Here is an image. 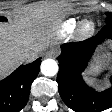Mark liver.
<instances>
[{
	"instance_id": "obj_1",
	"label": "liver",
	"mask_w": 112,
	"mask_h": 112,
	"mask_svg": "<svg viewBox=\"0 0 112 112\" xmlns=\"http://www.w3.org/2000/svg\"><path fill=\"white\" fill-rule=\"evenodd\" d=\"M65 13L57 3L33 4L20 10L14 24L0 23V79L23 63L19 59L22 52L39 53L51 44L49 28Z\"/></svg>"
}]
</instances>
